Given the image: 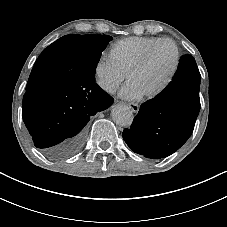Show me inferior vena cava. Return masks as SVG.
Instances as JSON below:
<instances>
[{"mask_svg": "<svg viewBox=\"0 0 227 227\" xmlns=\"http://www.w3.org/2000/svg\"><path fill=\"white\" fill-rule=\"evenodd\" d=\"M107 92H109L110 94H114L116 93L117 87L115 84L113 83H108L103 87Z\"/></svg>", "mask_w": 227, "mask_h": 227, "instance_id": "inferior-vena-cava-1", "label": "inferior vena cava"}]
</instances>
